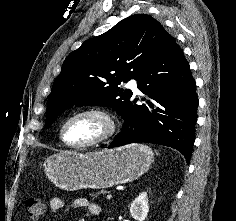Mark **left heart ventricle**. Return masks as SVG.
I'll return each instance as SVG.
<instances>
[{
    "label": "left heart ventricle",
    "mask_w": 236,
    "mask_h": 221,
    "mask_svg": "<svg viewBox=\"0 0 236 221\" xmlns=\"http://www.w3.org/2000/svg\"><path fill=\"white\" fill-rule=\"evenodd\" d=\"M106 121L98 115H84L72 120L65 128L67 142L75 145L95 140L107 131Z\"/></svg>",
    "instance_id": "obj_1"
}]
</instances>
